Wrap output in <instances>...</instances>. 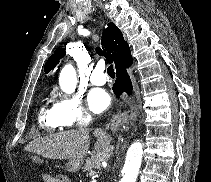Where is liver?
<instances>
[{
  "instance_id": "6515ba94",
  "label": "liver",
  "mask_w": 211,
  "mask_h": 182,
  "mask_svg": "<svg viewBox=\"0 0 211 182\" xmlns=\"http://www.w3.org/2000/svg\"><path fill=\"white\" fill-rule=\"evenodd\" d=\"M93 135L97 138L92 153L105 150L111 142V137L103 130L96 129ZM90 135L86 128L56 133L31 141L26 150L50 159H78L89 152Z\"/></svg>"
}]
</instances>
